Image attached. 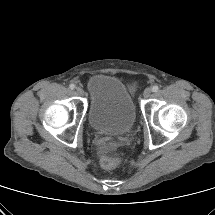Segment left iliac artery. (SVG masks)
Segmentation results:
<instances>
[{
  "label": "left iliac artery",
  "instance_id": "obj_1",
  "mask_svg": "<svg viewBox=\"0 0 215 215\" xmlns=\"http://www.w3.org/2000/svg\"><path fill=\"white\" fill-rule=\"evenodd\" d=\"M159 90V87L157 86V85H154L153 87H152V91L153 92H157Z\"/></svg>",
  "mask_w": 215,
  "mask_h": 215
}]
</instances>
